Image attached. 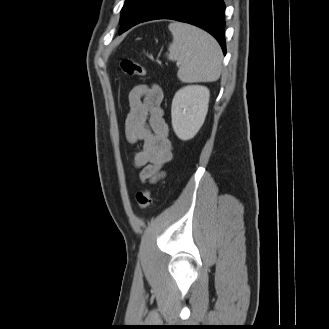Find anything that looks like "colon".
<instances>
[{
	"instance_id": "1",
	"label": "colon",
	"mask_w": 329,
	"mask_h": 329,
	"mask_svg": "<svg viewBox=\"0 0 329 329\" xmlns=\"http://www.w3.org/2000/svg\"><path fill=\"white\" fill-rule=\"evenodd\" d=\"M120 67L126 75L138 76L139 78H144L146 76L145 68L131 59H123L120 62ZM136 201L140 210L147 209L152 202V191L150 189L138 191L136 193Z\"/></svg>"
}]
</instances>
